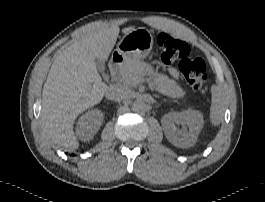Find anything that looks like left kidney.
I'll list each match as a JSON object with an SVG mask.
<instances>
[{
	"instance_id": "5707ae66",
	"label": "left kidney",
	"mask_w": 265,
	"mask_h": 202,
	"mask_svg": "<svg viewBox=\"0 0 265 202\" xmlns=\"http://www.w3.org/2000/svg\"><path fill=\"white\" fill-rule=\"evenodd\" d=\"M161 123L169 142L176 147L189 148L195 145L204 121L200 111L186 110L165 114ZM176 125H181L182 128L178 129Z\"/></svg>"
}]
</instances>
